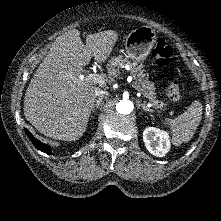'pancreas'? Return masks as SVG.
<instances>
[{
	"instance_id": "obj_1",
	"label": "pancreas",
	"mask_w": 221,
	"mask_h": 221,
	"mask_svg": "<svg viewBox=\"0 0 221 221\" xmlns=\"http://www.w3.org/2000/svg\"><path fill=\"white\" fill-rule=\"evenodd\" d=\"M124 64H128L130 66L131 75L135 79L134 85L136 89L141 91L142 94L151 101L152 105L156 109L164 110L166 103L156 99L154 84L148 80V77H146V74L136 62H130L127 57L124 58L122 55L115 56L112 60H110L108 65L109 74L116 77L119 73L118 68L122 67Z\"/></svg>"
}]
</instances>
